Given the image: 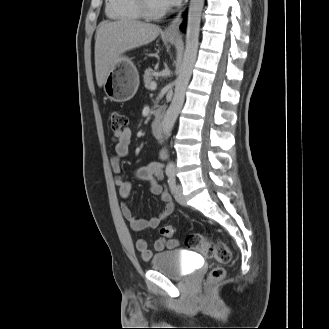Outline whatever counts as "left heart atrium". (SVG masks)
<instances>
[{"label":"left heart atrium","instance_id":"obj_1","mask_svg":"<svg viewBox=\"0 0 329 329\" xmlns=\"http://www.w3.org/2000/svg\"><path fill=\"white\" fill-rule=\"evenodd\" d=\"M166 7H171L177 5L180 0H162Z\"/></svg>","mask_w":329,"mask_h":329}]
</instances>
